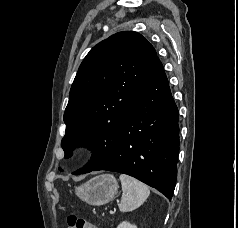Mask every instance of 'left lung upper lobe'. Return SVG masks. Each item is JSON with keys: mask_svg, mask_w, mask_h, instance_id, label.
<instances>
[{"mask_svg": "<svg viewBox=\"0 0 238 228\" xmlns=\"http://www.w3.org/2000/svg\"><path fill=\"white\" fill-rule=\"evenodd\" d=\"M157 58L153 46L133 31L116 33L89 51L71 86L61 145L65 158L77 145H88L94 154L74 173L92 170L112 157L120 127Z\"/></svg>", "mask_w": 238, "mask_h": 228, "instance_id": "1", "label": "left lung upper lobe"}]
</instances>
